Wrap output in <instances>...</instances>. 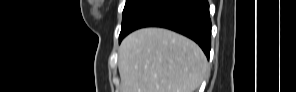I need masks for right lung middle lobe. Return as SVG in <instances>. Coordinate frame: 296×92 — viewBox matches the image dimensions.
Instances as JSON below:
<instances>
[{
  "mask_svg": "<svg viewBox=\"0 0 296 92\" xmlns=\"http://www.w3.org/2000/svg\"><path fill=\"white\" fill-rule=\"evenodd\" d=\"M154 0H127L123 10L122 28L119 36V42L131 31L132 25L139 15Z\"/></svg>",
  "mask_w": 296,
  "mask_h": 92,
  "instance_id": "1",
  "label": "right lung middle lobe"
}]
</instances>
